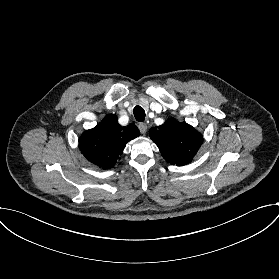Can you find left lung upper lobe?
I'll use <instances>...</instances> for the list:
<instances>
[{
  "mask_svg": "<svg viewBox=\"0 0 279 279\" xmlns=\"http://www.w3.org/2000/svg\"><path fill=\"white\" fill-rule=\"evenodd\" d=\"M149 136L157 144L163 158L177 166L191 162L203 142L202 135L191 125L173 118L151 128Z\"/></svg>",
  "mask_w": 279,
  "mask_h": 279,
  "instance_id": "obj_1",
  "label": "left lung upper lobe"
}]
</instances>
